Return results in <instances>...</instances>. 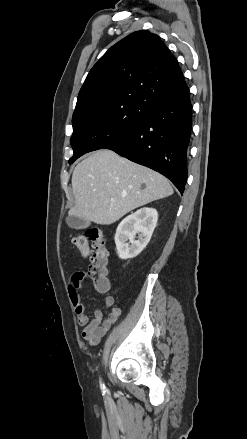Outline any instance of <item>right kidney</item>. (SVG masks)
Segmentation results:
<instances>
[{
	"instance_id": "right-kidney-1",
	"label": "right kidney",
	"mask_w": 247,
	"mask_h": 439,
	"mask_svg": "<svg viewBox=\"0 0 247 439\" xmlns=\"http://www.w3.org/2000/svg\"><path fill=\"white\" fill-rule=\"evenodd\" d=\"M157 220L156 209L141 208L121 221L115 234L116 250L120 259L134 258L146 247L157 225Z\"/></svg>"
}]
</instances>
